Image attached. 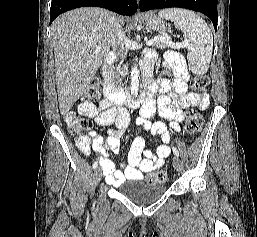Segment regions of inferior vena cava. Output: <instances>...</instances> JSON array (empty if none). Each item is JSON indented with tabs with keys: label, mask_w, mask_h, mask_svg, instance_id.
I'll use <instances>...</instances> for the list:
<instances>
[{
	"label": "inferior vena cava",
	"mask_w": 257,
	"mask_h": 237,
	"mask_svg": "<svg viewBox=\"0 0 257 237\" xmlns=\"http://www.w3.org/2000/svg\"><path fill=\"white\" fill-rule=\"evenodd\" d=\"M111 25L113 27L112 48L123 59L127 55L125 46L126 36L116 17H112Z\"/></svg>",
	"instance_id": "602c4592"
}]
</instances>
